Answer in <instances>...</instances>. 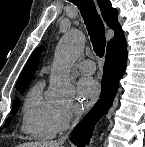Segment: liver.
<instances>
[{
	"instance_id": "liver-1",
	"label": "liver",
	"mask_w": 145,
	"mask_h": 147,
	"mask_svg": "<svg viewBox=\"0 0 145 147\" xmlns=\"http://www.w3.org/2000/svg\"><path fill=\"white\" fill-rule=\"evenodd\" d=\"M56 141H43V142H26L18 145V147H60Z\"/></svg>"
}]
</instances>
